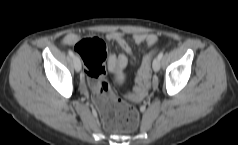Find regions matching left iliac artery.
I'll list each match as a JSON object with an SVG mask.
<instances>
[{"instance_id": "44dca946", "label": "left iliac artery", "mask_w": 238, "mask_h": 145, "mask_svg": "<svg viewBox=\"0 0 238 145\" xmlns=\"http://www.w3.org/2000/svg\"><path fill=\"white\" fill-rule=\"evenodd\" d=\"M157 57H158V59H159V60H161V59H162V57H163V51H161V52L158 54V56H157Z\"/></svg>"}]
</instances>
